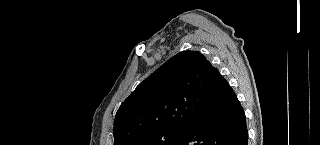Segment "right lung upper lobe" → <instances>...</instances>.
<instances>
[{"mask_svg":"<svg viewBox=\"0 0 320 145\" xmlns=\"http://www.w3.org/2000/svg\"><path fill=\"white\" fill-rule=\"evenodd\" d=\"M223 80L198 51L178 53L141 82L120 106L114 145H131L152 132L185 128L205 118L217 107Z\"/></svg>","mask_w":320,"mask_h":145,"instance_id":"1","label":"right lung upper lobe"}]
</instances>
